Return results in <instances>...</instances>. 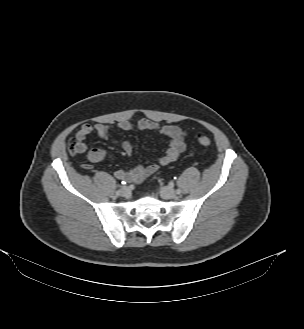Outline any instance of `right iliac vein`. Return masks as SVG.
I'll list each match as a JSON object with an SVG mask.
<instances>
[{
  "label": "right iliac vein",
  "mask_w": 304,
  "mask_h": 329,
  "mask_svg": "<svg viewBox=\"0 0 304 329\" xmlns=\"http://www.w3.org/2000/svg\"><path fill=\"white\" fill-rule=\"evenodd\" d=\"M120 195L123 197H129L130 196V190L128 187H122Z\"/></svg>",
  "instance_id": "63e3f726"
}]
</instances>
